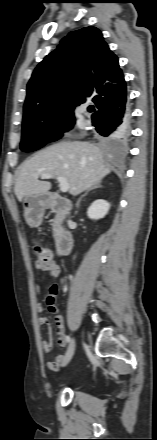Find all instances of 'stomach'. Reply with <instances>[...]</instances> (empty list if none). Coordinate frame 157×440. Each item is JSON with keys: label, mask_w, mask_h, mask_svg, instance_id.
<instances>
[{"label": "stomach", "mask_w": 157, "mask_h": 440, "mask_svg": "<svg viewBox=\"0 0 157 440\" xmlns=\"http://www.w3.org/2000/svg\"><path fill=\"white\" fill-rule=\"evenodd\" d=\"M46 207L47 199L44 195H30L24 198V217L30 227L41 225Z\"/></svg>", "instance_id": "stomach-1"}]
</instances>
